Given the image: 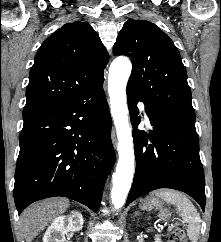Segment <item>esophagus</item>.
<instances>
[{"instance_id":"esophagus-1","label":"esophagus","mask_w":221,"mask_h":242,"mask_svg":"<svg viewBox=\"0 0 221 242\" xmlns=\"http://www.w3.org/2000/svg\"><path fill=\"white\" fill-rule=\"evenodd\" d=\"M111 138H112L113 143H115V141H116V136H115V131H114V129H112V132H111Z\"/></svg>"}]
</instances>
